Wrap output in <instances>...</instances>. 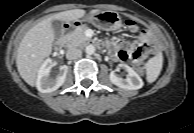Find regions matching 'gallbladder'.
Returning a JSON list of instances; mask_svg holds the SVG:
<instances>
[{"instance_id": "gallbladder-1", "label": "gallbladder", "mask_w": 194, "mask_h": 133, "mask_svg": "<svg viewBox=\"0 0 194 133\" xmlns=\"http://www.w3.org/2000/svg\"><path fill=\"white\" fill-rule=\"evenodd\" d=\"M52 28L56 37H61L63 34V25L59 20L52 21Z\"/></svg>"}]
</instances>
